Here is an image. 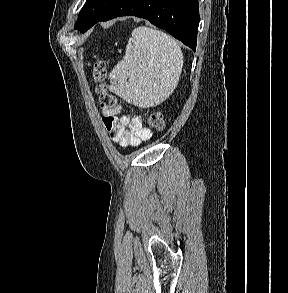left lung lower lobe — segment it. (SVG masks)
<instances>
[{
	"label": "left lung lower lobe",
	"mask_w": 288,
	"mask_h": 293,
	"mask_svg": "<svg viewBox=\"0 0 288 293\" xmlns=\"http://www.w3.org/2000/svg\"><path fill=\"white\" fill-rule=\"evenodd\" d=\"M131 15L147 19L196 50L198 0H118L97 22Z\"/></svg>",
	"instance_id": "left-lung-lower-lobe-1"
}]
</instances>
